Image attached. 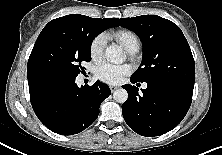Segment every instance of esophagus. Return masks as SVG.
<instances>
[{
  "mask_svg": "<svg viewBox=\"0 0 222 155\" xmlns=\"http://www.w3.org/2000/svg\"><path fill=\"white\" fill-rule=\"evenodd\" d=\"M119 87L118 86H115V85H111L110 86V90L111 92H114L115 90H117Z\"/></svg>",
  "mask_w": 222,
  "mask_h": 155,
  "instance_id": "obj_1",
  "label": "esophagus"
}]
</instances>
